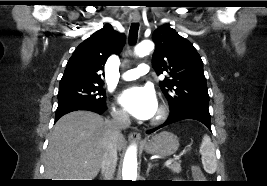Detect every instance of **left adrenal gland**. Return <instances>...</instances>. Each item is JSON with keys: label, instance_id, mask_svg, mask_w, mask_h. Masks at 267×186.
Here are the masks:
<instances>
[{"label": "left adrenal gland", "instance_id": "obj_1", "mask_svg": "<svg viewBox=\"0 0 267 186\" xmlns=\"http://www.w3.org/2000/svg\"><path fill=\"white\" fill-rule=\"evenodd\" d=\"M153 166H154V165H153L151 162L148 163V168H147V171H146L147 176L149 175V172H150V170H151V168H152Z\"/></svg>", "mask_w": 267, "mask_h": 186}]
</instances>
